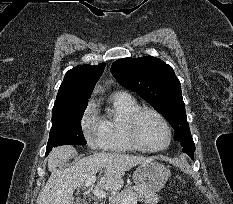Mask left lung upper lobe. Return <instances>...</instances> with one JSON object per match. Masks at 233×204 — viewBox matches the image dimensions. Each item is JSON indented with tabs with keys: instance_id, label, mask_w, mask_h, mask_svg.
<instances>
[{
	"instance_id": "5c2ea615",
	"label": "left lung upper lobe",
	"mask_w": 233,
	"mask_h": 204,
	"mask_svg": "<svg viewBox=\"0 0 233 204\" xmlns=\"http://www.w3.org/2000/svg\"><path fill=\"white\" fill-rule=\"evenodd\" d=\"M111 72L122 86L137 92L166 117L184 152H195L180 81L170 65L153 56L123 58L112 64Z\"/></svg>"
}]
</instances>
